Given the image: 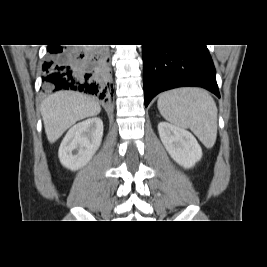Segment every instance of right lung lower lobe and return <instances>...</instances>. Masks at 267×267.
Wrapping results in <instances>:
<instances>
[{
	"label": "right lung lower lobe",
	"mask_w": 267,
	"mask_h": 267,
	"mask_svg": "<svg viewBox=\"0 0 267 267\" xmlns=\"http://www.w3.org/2000/svg\"><path fill=\"white\" fill-rule=\"evenodd\" d=\"M43 64V90H74L107 101L111 96L107 49L83 50L60 45H48Z\"/></svg>",
	"instance_id": "98d812e1"
}]
</instances>
